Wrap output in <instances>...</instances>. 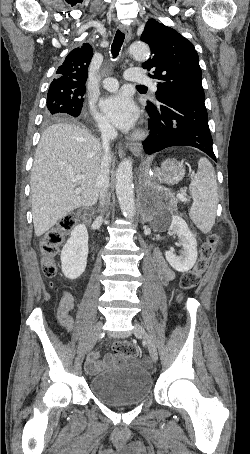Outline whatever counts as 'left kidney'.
Returning a JSON list of instances; mask_svg holds the SVG:
<instances>
[{
	"instance_id": "5707ae66",
	"label": "left kidney",
	"mask_w": 250,
	"mask_h": 454,
	"mask_svg": "<svg viewBox=\"0 0 250 454\" xmlns=\"http://www.w3.org/2000/svg\"><path fill=\"white\" fill-rule=\"evenodd\" d=\"M169 229L178 236L183 250L180 256H177L173 250L166 251V260L179 272L189 271L197 260L196 238L189 230L187 223L178 215H171Z\"/></svg>"
}]
</instances>
